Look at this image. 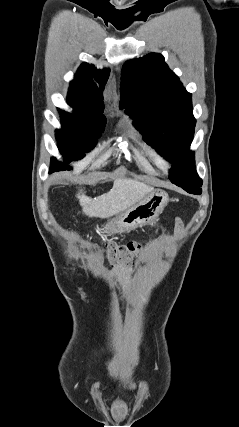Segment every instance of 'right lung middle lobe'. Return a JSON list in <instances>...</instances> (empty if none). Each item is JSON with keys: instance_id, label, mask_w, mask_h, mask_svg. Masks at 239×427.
<instances>
[{"instance_id": "1", "label": "right lung middle lobe", "mask_w": 239, "mask_h": 427, "mask_svg": "<svg viewBox=\"0 0 239 427\" xmlns=\"http://www.w3.org/2000/svg\"><path fill=\"white\" fill-rule=\"evenodd\" d=\"M62 129L57 130L56 138L60 153L66 160H79L97 143L106 125L104 115L60 111ZM70 169L66 164L51 159L50 172Z\"/></svg>"}]
</instances>
